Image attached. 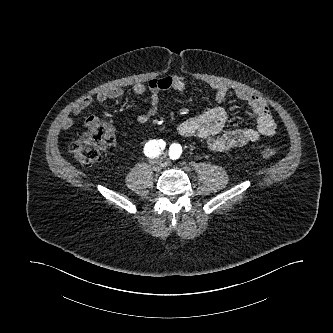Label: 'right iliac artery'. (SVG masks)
Wrapping results in <instances>:
<instances>
[{
    "label": "right iliac artery",
    "mask_w": 333,
    "mask_h": 333,
    "mask_svg": "<svg viewBox=\"0 0 333 333\" xmlns=\"http://www.w3.org/2000/svg\"><path fill=\"white\" fill-rule=\"evenodd\" d=\"M166 143L163 140H150L144 146V153L149 158H155L160 154V149L165 148Z\"/></svg>",
    "instance_id": "obj_1"
}]
</instances>
